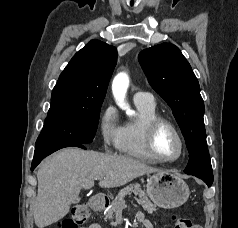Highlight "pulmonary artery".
Listing matches in <instances>:
<instances>
[{"label": "pulmonary artery", "instance_id": "pulmonary-artery-1", "mask_svg": "<svg viewBox=\"0 0 238 228\" xmlns=\"http://www.w3.org/2000/svg\"><path fill=\"white\" fill-rule=\"evenodd\" d=\"M133 101L137 103L153 104L154 98L149 93L138 91L134 94Z\"/></svg>", "mask_w": 238, "mask_h": 228}]
</instances>
